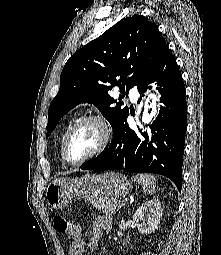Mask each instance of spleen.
I'll list each match as a JSON object with an SVG mask.
<instances>
[{"mask_svg":"<svg viewBox=\"0 0 221 255\" xmlns=\"http://www.w3.org/2000/svg\"><path fill=\"white\" fill-rule=\"evenodd\" d=\"M133 181L138 182L147 194H152L156 187V178L151 174L135 175L131 178Z\"/></svg>","mask_w":221,"mask_h":255,"instance_id":"obj_1","label":"spleen"}]
</instances>
